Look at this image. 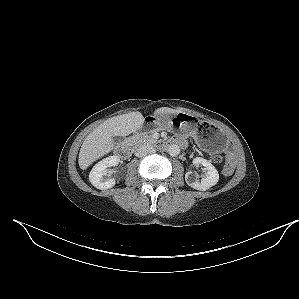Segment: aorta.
I'll return each instance as SVG.
<instances>
[{
	"label": "aorta",
	"instance_id": "1",
	"mask_svg": "<svg viewBox=\"0 0 299 299\" xmlns=\"http://www.w3.org/2000/svg\"><path fill=\"white\" fill-rule=\"evenodd\" d=\"M168 153L171 156H176L180 153V147L176 144H172L168 147Z\"/></svg>",
	"mask_w": 299,
	"mask_h": 299
}]
</instances>
